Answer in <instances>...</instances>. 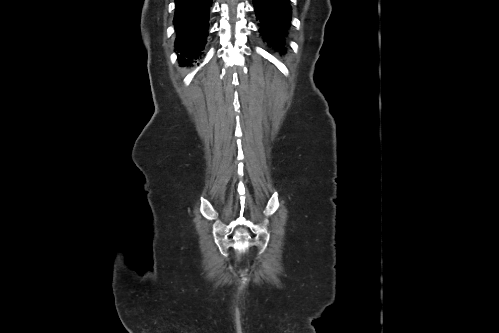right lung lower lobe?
<instances>
[{
    "mask_svg": "<svg viewBox=\"0 0 499 333\" xmlns=\"http://www.w3.org/2000/svg\"><path fill=\"white\" fill-rule=\"evenodd\" d=\"M212 0H175V47L180 64H190L202 51L208 34L209 5Z\"/></svg>",
    "mask_w": 499,
    "mask_h": 333,
    "instance_id": "right-lung-lower-lobe-1",
    "label": "right lung lower lobe"
}]
</instances>
